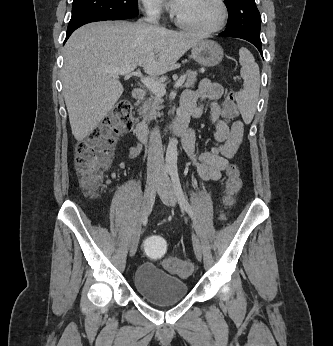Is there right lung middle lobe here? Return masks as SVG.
<instances>
[{"mask_svg": "<svg viewBox=\"0 0 333 346\" xmlns=\"http://www.w3.org/2000/svg\"><path fill=\"white\" fill-rule=\"evenodd\" d=\"M137 15V0H74L67 29L88 19L122 20Z\"/></svg>", "mask_w": 333, "mask_h": 346, "instance_id": "obj_1", "label": "right lung middle lobe"}]
</instances>
